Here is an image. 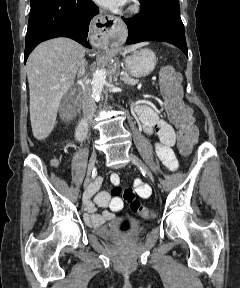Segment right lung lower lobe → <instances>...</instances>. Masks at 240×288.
Masks as SVG:
<instances>
[{"mask_svg":"<svg viewBox=\"0 0 240 288\" xmlns=\"http://www.w3.org/2000/svg\"><path fill=\"white\" fill-rule=\"evenodd\" d=\"M98 12L91 0H42L32 6L24 62L39 43L55 37H69L91 48L87 33L91 19Z\"/></svg>","mask_w":240,"mask_h":288,"instance_id":"right-lung-lower-lobe-1","label":"right lung lower lobe"}]
</instances>
